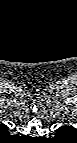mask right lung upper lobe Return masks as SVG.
<instances>
[{"instance_id": "cb5924a9", "label": "right lung upper lobe", "mask_w": 77, "mask_h": 143, "mask_svg": "<svg viewBox=\"0 0 77 143\" xmlns=\"http://www.w3.org/2000/svg\"><path fill=\"white\" fill-rule=\"evenodd\" d=\"M3 129L6 131L8 128L6 126H3Z\"/></svg>"}]
</instances>
